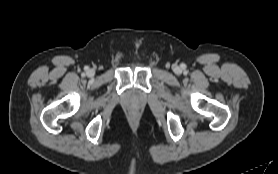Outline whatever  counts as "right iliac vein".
<instances>
[{
	"mask_svg": "<svg viewBox=\"0 0 278 174\" xmlns=\"http://www.w3.org/2000/svg\"><path fill=\"white\" fill-rule=\"evenodd\" d=\"M87 75H88L89 77H93V76L95 75V70H94V69L88 70Z\"/></svg>",
	"mask_w": 278,
	"mask_h": 174,
	"instance_id": "63e3f726",
	"label": "right iliac vein"
}]
</instances>
